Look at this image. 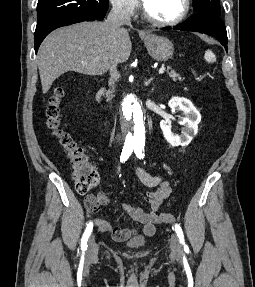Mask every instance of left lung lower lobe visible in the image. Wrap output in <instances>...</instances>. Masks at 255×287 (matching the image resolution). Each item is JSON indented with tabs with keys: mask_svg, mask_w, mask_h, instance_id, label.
Instances as JSON below:
<instances>
[{
	"mask_svg": "<svg viewBox=\"0 0 255 287\" xmlns=\"http://www.w3.org/2000/svg\"><path fill=\"white\" fill-rule=\"evenodd\" d=\"M163 30H181L205 33L215 37L227 50L226 27L220 16L209 12H198L185 22L171 27H164Z\"/></svg>",
	"mask_w": 255,
	"mask_h": 287,
	"instance_id": "1",
	"label": "left lung lower lobe"
}]
</instances>
